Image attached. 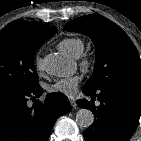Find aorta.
<instances>
[{
	"instance_id": "obj_1",
	"label": "aorta",
	"mask_w": 141,
	"mask_h": 141,
	"mask_svg": "<svg viewBox=\"0 0 141 141\" xmlns=\"http://www.w3.org/2000/svg\"><path fill=\"white\" fill-rule=\"evenodd\" d=\"M44 70L56 77H66L73 72L71 62L59 54H48L43 59ZM94 121V115L89 109H80L76 113V123L83 128H88Z\"/></svg>"
}]
</instances>
